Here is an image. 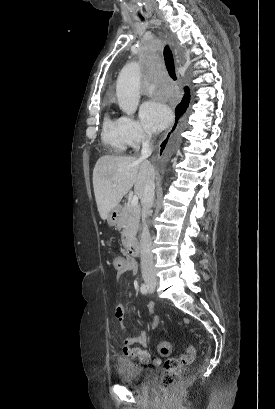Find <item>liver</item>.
<instances>
[{"label": "liver", "mask_w": 275, "mask_h": 409, "mask_svg": "<svg viewBox=\"0 0 275 409\" xmlns=\"http://www.w3.org/2000/svg\"><path fill=\"white\" fill-rule=\"evenodd\" d=\"M151 162L136 156H100L93 170V188L97 209L103 221L134 184L135 194L142 198L145 184L154 174ZM116 184V186H113Z\"/></svg>", "instance_id": "obj_1"}]
</instances>
